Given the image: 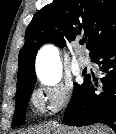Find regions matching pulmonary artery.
<instances>
[{"mask_svg": "<svg viewBox=\"0 0 116 134\" xmlns=\"http://www.w3.org/2000/svg\"><path fill=\"white\" fill-rule=\"evenodd\" d=\"M78 50L80 49V46L77 45L76 47ZM77 62L81 68H86L90 66V60L87 56L85 55H79L77 58Z\"/></svg>", "mask_w": 116, "mask_h": 134, "instance_id": "1", "label": "pulmonary artery"}]
</instances>
